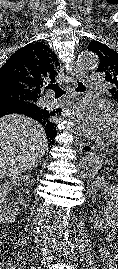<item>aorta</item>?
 <instances>
[{"label":"aorta","mask_w":118,"mask_h":269,"mask_svg":"<svg viewBox=\"0 0 118 269\" xmlns=\"http://www.w3.org/2000/svg\"><path fill=\"white\" fill-rule=\"evenodd\" d=\"M78 63L82 69H94L99 63L98 56L93 52H83L78 57ZM100 169V158L96 154L85 157L78 167L79 176L86 178L97 174Z\"/></svg>","instance_id":"762f6f07"}]
</instances>
